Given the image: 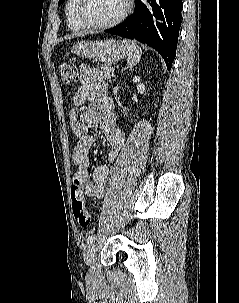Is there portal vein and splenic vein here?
I'll list each match as a JSON object with an SVG mask.
<instances>
[{"label": "portal vein and splenic vein", "mask_w": 239, "mask_h": 303, "mask_svg": "<svg viewBox=\"0 0 239 303\" xmlns=\"http://www.w3.org/2000/svg\"><path fill=\"white\" fill-rule=\"evenodd\" d=\"M110 71H111V72H114V68H111Z\"/></svg>", "instance_id": "portal-vein-and-splenic-vein-1"}]
</instances>
